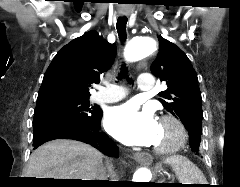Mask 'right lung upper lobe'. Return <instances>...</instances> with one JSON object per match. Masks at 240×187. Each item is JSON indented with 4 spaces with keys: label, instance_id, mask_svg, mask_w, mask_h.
Instances as JSON below:
<instances>
[{
    "label": "right lung upper lobe",
    "instance_id": "right-lung-upper-lobe-1",
    "mask_svg": "<svg viewBox=\"0 0 240 187\" xmlns=\"http://www.w3.org/2000/svg\"><path fill=\"white\" fill-rule=\"evenodd\" d=\"M116 56V45L96 31L86 32L58 51L46 70L39 89L37 105L59 99L86 98L89 87L99 83Z\"/></svg>",
    "mask_w": 240,
    "mask_h": 187
}]
</instances>
